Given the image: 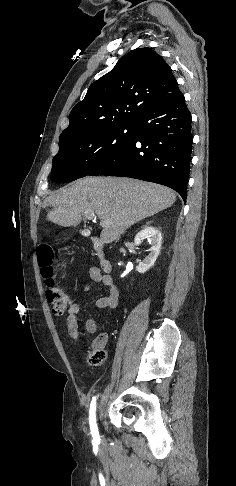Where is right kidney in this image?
Masks as SVG:
<instances>
[{
    "mask_svg": "<svg viewBox=\"0 0 236 486\" xmlns=\"http://www.w3.org/2000/svg\"><path fill=\"white\" fill-rule=\"evenodd\" d=\"M147 239L151 245L148 255L144 258L142 262L139 263L137 271L139 273H145L148 271L155 263L161 248L162 235L161 232L152 226H147L142 229L134 238L136 245H140L142 240Z\"/></svg>",
    "mask_w": 236,
    "mask_h": 486,
    "instance_id": "ca27d5eb",
    "label": "right kidney"
}]
</instances>
